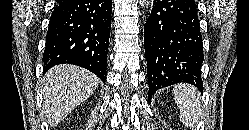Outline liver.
Here are the masks:
<instances>
[{"label":"liver","mask_w":249,"mask_h":130,"mask_svg":"<svg viewBox=\"0 0 249 130\" xmlns=\"http://www.w3.org/2000/svg\"><path fill=\"white\" fill-rule=\"evenodd\" d=\"M98 84L97 76L78 66L65 64L51 68L43 81V114L50 127L88 99Z\"/></svg>","instance_id":"1"}]
</instances>
